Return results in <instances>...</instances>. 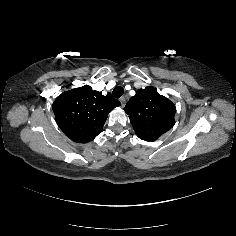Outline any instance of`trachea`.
<instances>
[{"label":"trachea","instance_id":"trachea-1","mask_svg":"<svg viewBox=\"0 0 236 236\" xmlns=\"http://www.w3.org/2000/svg\"><path fill=\"white\" fill-rule=\"evenodd\" d=\"M123 93H124V89L121 86L115 87L113 92H112V94L115 98L121 97L123 95Z\"/></svg>","mask_w":236,"mask_h":236}]
</instances>
